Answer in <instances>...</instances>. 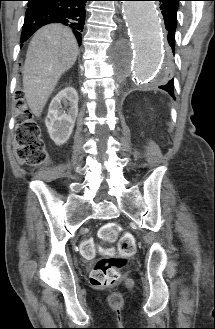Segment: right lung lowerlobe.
<instances>
[{
	"label": "right lung lower lobe",
	"instance_id": "right-lung-lower-lobe-1",
	"mask_svg": "<svg viewBox=\"0 0 215 329\" xmlns=\"http://www.w3.org/2000/svg\"><path fill=\"white\" fill-rule=\"evenodd\" d=\"M21 40L49 23H62L73 29L79 45L85 22V3L89 0H27Z\"/></svg>",
	"mask_w": 215,
	"mask_h": 329
}]
</instances>
